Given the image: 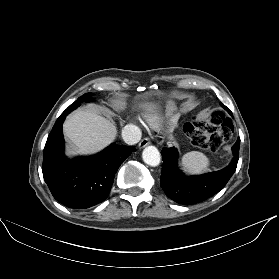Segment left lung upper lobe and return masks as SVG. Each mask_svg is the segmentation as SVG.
Here are the masks:
<instances>
[{"mask_svg":"<svg viewBox=\"0 0 279 279\" xmlns=\"http://www.w3.org/2000/svg\"><path fill=\"white\" fill-rule=\"evenodd\" d=\"M221 105H222L226 110H228V108H227L226 106H224L222 103H221Z\"/></svg>","mask_w":279,"mask_h":279,"instance_id":"left-lung-upper-lobe-1","label":"left lung upper lobe"}]
</instances>
